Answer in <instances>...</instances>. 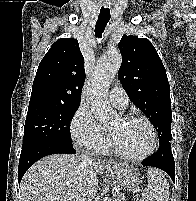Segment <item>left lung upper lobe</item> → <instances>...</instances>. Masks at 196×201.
I'll list each match as a JSON object with an SVG mask.
<instances>
[{
	"mask_svg": "<svg viewBox=\"0 0 196 201\" xmlns=\"http://www.w3.org/2000/svg\"><path fill=\"white\" fill-rule=\"evenodd\" d=\"M118 47L122 54L118 77L123 88L157 129L159 143L170 142V85L156 49L148 39L132 35H123Z\"/></svg>",
	"mask_w": 196,
	"mask_h": 201,
	"instance_id": "1",
	"label": "left lung upper lobe"
}]
</instances>
